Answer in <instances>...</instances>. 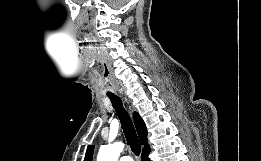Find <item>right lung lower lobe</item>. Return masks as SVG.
<instances>
[{
  "label": "right lung lower lobe",
  "mask_w": 261,
  "mask_h": 161,
  "mask_svg": "<svg viewBox=\"0 0 261 161\" xmlns=\"http://www.w3.org/2000/svg\"><path fill=\"white\" fill-rule=\"evenodd\" d=\"M150 151L144 152L141 155V161H150L148 155H149Z\"/></svg>",
  "instance_id": "obj_1"
}]
</instances>
